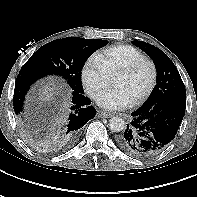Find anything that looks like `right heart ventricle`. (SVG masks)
Masks as SVG:
<instances>
[{
  "instance_id": "right-heart-ventricle-1",
  "label": "right heart ventricle",
  "mask_w": 197,
  "mask_h": 197,
  "mask_svg": "<svg viewBox=\"0 0 197 197\" xmlns=\"http://www.w3.org/2000/svg\"><path fill=\"white\" fill-rule=\"evenodd\" d=\"M96 57L110 76H115L122 68L144 59L145 55L137 48L126 45H114L101 50Z\"/></svg>"
}]
</instances>
